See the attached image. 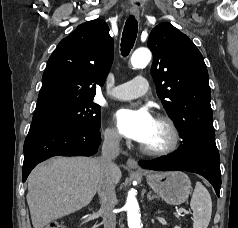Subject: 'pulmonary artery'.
I'll return each instance as SVG.
<instances>
[{
	"label": "pulmonary artery",
	"mask_w": 238,
	"mask_h": 228,
	"mask_svg": "<svg viewBox=\"0 0 238 228\" xmlns=\"http://www.w3.org/2000/svg\"><path fill=\"white\" fill-rule=\"evenodd\" d=\"M148 90V81L145 77L137 76L131 81L116 86L110 96L119 100H129L143 96Z\"/></svg>",
	"instance_id": "e3ab8cb5"
}]
</instances>
